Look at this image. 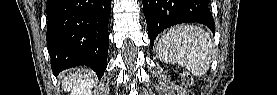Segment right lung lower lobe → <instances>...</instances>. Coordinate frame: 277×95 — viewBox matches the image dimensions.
Here are the masks:
<instances>
[{
	"mask_svg": "<svg viewBox=\"0 0 277 95\" xmlns=\"http://www.w3.org/2000/svg\"><path fill=\"white\" fill-rule=\"evenodd\" d=\"M111 0H47V45L55 75L86 65L99 78L107 66Z\"/></svg>",
	"mask_w": 277,
	"mask_h": 95,
	"instance_id": "right-lung-lower-lobe-1",
	"label": "right lung lower lobe"
}]
</instances>
